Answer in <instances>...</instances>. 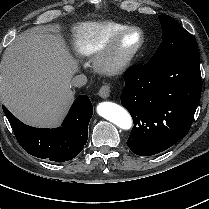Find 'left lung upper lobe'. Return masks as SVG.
Here are the masks:
<instances>
[{
	"mask_svg": "<svg viewBox=\"0 0 209 209\" xmlns=\"http://www.w3.org/2000/svg\"><path fill=\"white\" fill-rule=\"evenodd\" d=\"M159 20L163 29L162 42L153 57L147 62L148 64H166L198 52V47L191 34L175 19L168 15H160Z\"/></svg>",
	"mask_w": 209,
	"mask_h": 209,
	"instance_id": "1",
	"label": "left lung upper lobe"
}]
</instances>
